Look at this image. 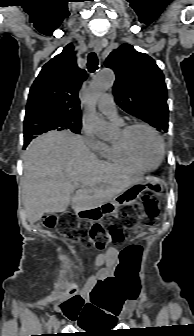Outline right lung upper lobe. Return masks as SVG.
Listing matches in <instances>:
<instances>
[{"instance_id": "right-lung-upper-lobe-1", "label": "right lung upper lobe", "mask_w": 194, "mask_h": 336, "mask_svg": "<svg viewBox=\"0 0 194 336\" xmlns=\"http://www.w3.org/2000/svg\"><path fill=\"white\" fill-rule=\"evenodd\" d=\"M73 49L72 44L67 45L43 66L30 89L25 126L39 120L81 124L78 91L86 72L78 68ZM47 131L26 135L24 143Z\"/></svg>"}]
</instances>
